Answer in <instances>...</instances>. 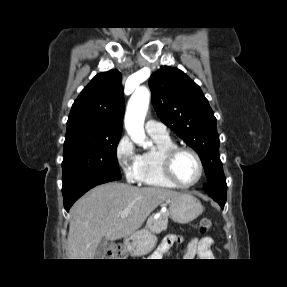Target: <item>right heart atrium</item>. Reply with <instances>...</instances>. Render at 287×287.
Masks as SVG:
<instances>
[{"label": "right heart atrium", "mask_w": 287, "mask_h": 287, "mask_svg": "<svg viewBox=\"0 0 287 287\" xmlns=\"http://www.w3.org/2000/svg\"><path fill=\"white\" fill-rule=\"evenodd\" d=\"M115 157L129 182H139V158L133 142L127 135H123L115 147Z\"/></svg>", "instance_id": "right-heart-atrium-1"}]
</instances>
